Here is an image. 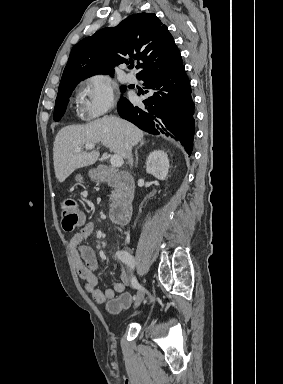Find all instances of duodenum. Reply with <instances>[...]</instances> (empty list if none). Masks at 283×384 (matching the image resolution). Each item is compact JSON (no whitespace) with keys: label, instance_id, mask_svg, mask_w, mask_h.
Returning <instances> with one entry per match:
<instances>
[{"label":"duodenum","instance_id":"1","mask_svg":"<svg viewBox=\"0 0 283 384\" xmlns=\"http://www.w3.org/2000/svg\"><path fill=\"white\" fill-rule=\"evenodd\" d=\"M99 181L110 182L120 188L119 201L113 208L110 218L115 225L124 226L132 217L135 188L133 179L128 172H114L107 165L96 168Z\"/></svg>","mask_w":283,"mask_h":384}]
</instances>
